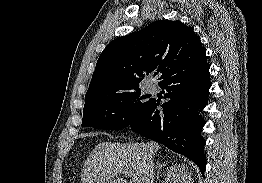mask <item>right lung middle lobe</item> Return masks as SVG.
Masks as SVG:
<instances>
[{"label":"right lung middle lobe","instance_id":"dd1d6c3e","mask_svg":"<svg viewBox=\"0 0 262 183\" xmlns=\"http://www.w3.org/2000/svg\"><path fill=\"white\" fill-rule=\"evenodd\" d=\"M139 88L86 102L82 127L116 130L128 127L151 102Z\"/></svg>","mask_w":262,"mask_h":183}]
</instances>
